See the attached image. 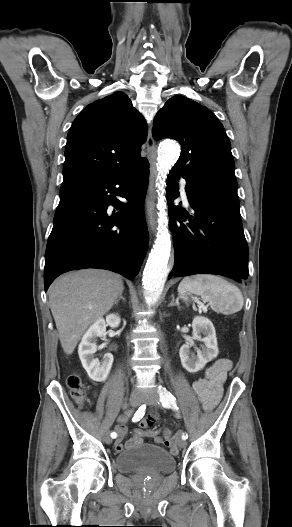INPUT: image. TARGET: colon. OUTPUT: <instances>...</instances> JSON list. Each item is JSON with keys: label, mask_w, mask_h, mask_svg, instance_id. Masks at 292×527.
<instances>
[{"label": "colon", "mask_w": 292, "mask_h": 527, "mask_svg": "<svg viewBox=\"0 0 292 527\" xmlns=\"http://www.w3.org/2000/svg\"><path fill=\"white\" fill-rule=\"evenodd\" d=\"M71 397L74 401L82 405L86 400V387L78 373H73L68 376L66 381ZM157 417L154 414L145 416L139 423L142 429L151 428L156 422ZM171 432V431H170Z\"/></svg>", "instance_id": "obj_1"}]
</instances>
